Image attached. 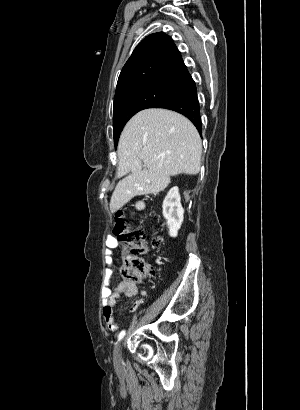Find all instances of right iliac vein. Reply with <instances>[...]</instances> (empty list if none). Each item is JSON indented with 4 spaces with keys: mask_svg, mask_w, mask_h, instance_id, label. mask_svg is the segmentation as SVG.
I'll return each mask as SVG.
<instances>
[{
    "mask_svg": "<svg viewBox=\"0 0 300 410\" xmlns=\"http://www.w3.org/2000/svg\"><path fill=\"white\" fill-rule=\"evenodd\" d=\"M121 361V344H117L114 349V363L116 365L120 364Z\"/></svg>",
    "mask_w": 300,
    "mask_h": 410,
    "instance_id": "obj_1",
    "label": "right iliac vein"
}]
</instances>
